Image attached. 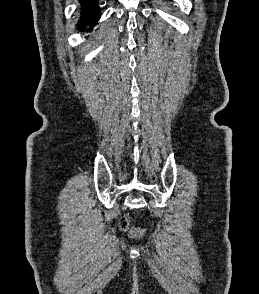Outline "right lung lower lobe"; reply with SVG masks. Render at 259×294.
Here are the masks:
<instances>
[{
    "mask_svg": "<svg viewBox=\"0 0 259 294\" xmlns=\"http://www.w3.org/2000/svg\"><path fill=\"white\" fill-rule=\"evenodd\" d=\"M99 0H79L81 4L80 17L77 26L84 31L86 27H93L100 16Z\"/></svg>",
    "mask_w": 259,
    "mask_h": 294,
    "instance_id": "1",
    "label": "right lung lower lobe"
}]
</instances>
